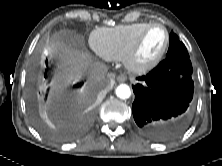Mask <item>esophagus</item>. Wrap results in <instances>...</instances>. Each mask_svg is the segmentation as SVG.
<instances>
[{
	"label": "esophagus",
	"mask_w": 222,
	"mask_h": 166,
	"mask_svg": "<svg viewBox=\"0 0 222 166\" xmlns=\"http://www.w3.org/2000/svg\"><path fill=\"white\" fill-rule=\"evenodd\" d=\"M116 80H117L118 82H125V81L127 80V76L124 75V74H120V75H118V76L116 77Z\"/></svg>",
	"instance_id": "34e87169"
}]
</instances>
